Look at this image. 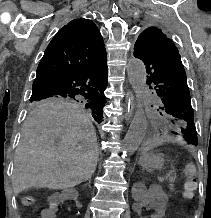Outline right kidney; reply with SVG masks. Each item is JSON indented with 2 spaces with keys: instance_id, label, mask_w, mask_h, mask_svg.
I'll use <instances>...</instances> for the list:
<instances>
[{
  "instance_id": "1",
  "label": "right kidney",
  "mask_w": 211,
  "mask_h": 218,
  "mask_svg": "<svg viewBox=\"0 0 211 218\" xmlns=\"http://www.w3.org/2000/svg\"><path fill=\"white\" fill-rule=\"evenodd\" d=\"M78 192L75 188H66L62 193H49L48 197V218H62L60 214L64 213L61 209L62 202H72L74 198H77Z\"/></svg>"
}]
</instances>
